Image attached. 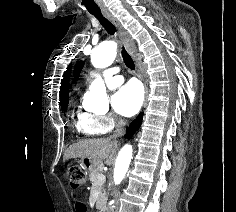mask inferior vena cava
I'll return each mask as SVG.
<instances>
[{
    "instance_id": "602c4592",
    "label": "inferior vena cava",
    "mask_w": 236,
    "mask_h": 212,
    "mask_svg": "<svg viewBox=\"0 0 236 212\" xmlns=\"http://www.w3.org/2000/svg\"><path fill=\"white\" fill-rule=\"evenodd\" d=\"M126 125V122L122 119H120L117 124L114 131V134L112 135V138L120 137L124 134V126Z\"/></svg>"
}]
</instances>
